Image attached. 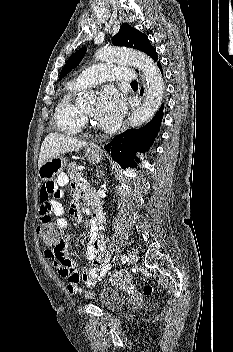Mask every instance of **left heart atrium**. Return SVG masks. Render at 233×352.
<instances>
[{
    "mask_svg": "<svg viewBox=\"0 0 233 352\" xmlns=\"http://www.w3.org/2000/svg\"><path fill=\"white\" fill-rule=\"evenodd\" d=\"M125 109L124 96L112 87H105L94 109V119L100 126L110 128L120 120Z\"/></svg>",
    "mask_w": 233,
    "mask_h": 352,
    "instance_id": "left-heart-atrium-1",
    "label": "left heart atrium"
}]
</instances>
